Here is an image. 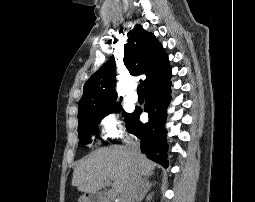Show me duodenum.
I'll return each mask as SVG.
<instances>
[{
	"label": "duodenum",
	"instance_id": "duodenum-1",
	"mask_svg": "<svg viewBox=\"0 0 255 202\" xmlns=\"http://www.w3.org/2000/svg\"><path fill=\"white\" fill-rule=\"evenodd\" d=\"M84 201L85 202H100V197L95 193H88Z\"/></svg>",
	"mask_w": 255,
	"mask_h": 202
}]
</instances>
